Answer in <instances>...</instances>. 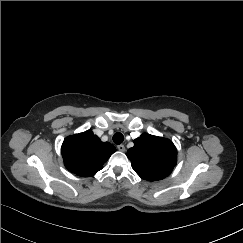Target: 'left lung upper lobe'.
Returning <instances> with one entry per match:
<instances>
[{"instance_id": "1", "label": "left lung upper lobe", "mask_w": 243, "mask_h": 243, "mask_svg": "<svg viewBox=\"0 0 243 243\" xmlns=\"http://www.w3.org/2000/svg\"><path fill=\"white\" fill-rule=\"evenodd\" d=\"M126 155L135 172L148 181L167 177L177 162V150L172 141L148 133L136 138Z\"/></svg>"}]
</instances>
